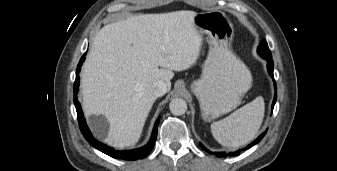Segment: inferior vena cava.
I'll list each match as a JSON object with an SVG mask.
<instances>
[{
    "label": "inferior vena cava",
    "instance_id": "1",
    "mask_svg": "<svg viewBox=\"0 0 337 171\" xmlns=\"http://www.w3.org/2000/svg\"><path fill=\"white\" fill-rule=\"evenodd\" d=\"M151 91L156 97H161L168 91V87L165 82L159 80L153 83Z\"/></svg>",
    "mask_w": 337,
    "mask_h": 171
}]
</instances>
